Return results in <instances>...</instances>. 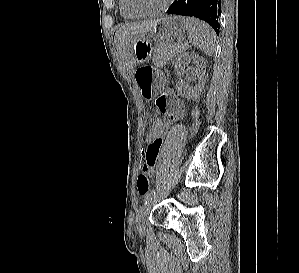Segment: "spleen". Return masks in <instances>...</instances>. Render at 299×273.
Segmentation results:
<instances>
[{"mask_svg":"<svg viewBox=\"0 0 299 273\" xmlns=\"http://www.w3.org/2000/svg\"><path fill=\"white\" fill-rule=\"evenodd\" d=\"M190 42L207 56L214 51L216 35L207 23L196 18L185 19Z\"/></svg>","mask_w":299,"mask_h":273,"instance_id":"obj_1","label":"spleen"}]
</instances>
